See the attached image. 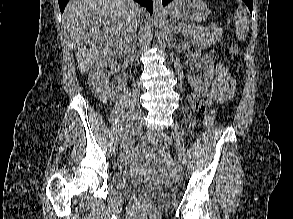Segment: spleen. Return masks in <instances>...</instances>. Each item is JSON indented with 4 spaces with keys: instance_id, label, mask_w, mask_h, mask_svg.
I'll return each instance as SVG.
<instances>
[{
    "instance_id": "3e777b00",
    "label": "spleen",
    "mask_w": 293,
    "mask_h": 219,
    "mask_svg": "<svg viewBox=\"0 0 293 219\" xmlns=\"http://www.w3.org/2000/svg\"><path fill=\"white\" fill-rule=\"evenodd\" d=\"M235 33L238 40H245L249 32V19L243 6H238L234 14Z\"/></svg>"
}]
</instances>
